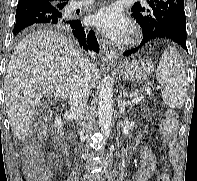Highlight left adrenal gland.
Segmentation results:
<instances>
[{"mask_svg": "<svg viewBox=\"0 0 197 181\" xmlns=\"http://www.w3.org/2000/svg\"><path fill=\"white\" fill-rule=\"evenodd\" d=\"M129 105H130L129 102L123 100L122 93L120 92V94L118 96V109H119V113L125 115L126 107L129 106Z\"/></svg>", "mask_w": 197, "mask_h": 181, "instance_id": "obj_1", "label": "left adrenal gland"}]
</instances>
